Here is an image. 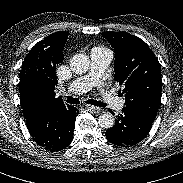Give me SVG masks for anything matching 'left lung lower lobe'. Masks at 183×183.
Here are the masks:
<instances>
[{
	"label": "left lung lower lobe",
	"instance_id": "obj_1",
	"mask_svg": "<svg viewBox=\"0 0 183 183\" xmlns=\"http://www.w3.org/2000/svg\"><path fill=\"white\" fill-rule=\"evenodd\" d=\"M112 112V111H111ZM114 115V113L112 112ZM153 120L134 110L123 108L116 116L115 125L106 131L109 142L120 146H131L142 141L149 133Z\"/></svg>",
	"mask_w": 183,
	"mask_h": 183
}]
</instances>
